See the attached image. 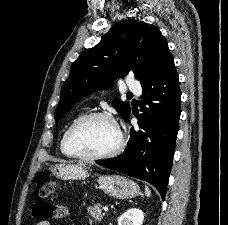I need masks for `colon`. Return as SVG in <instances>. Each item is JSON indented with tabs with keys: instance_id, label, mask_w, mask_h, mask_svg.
Returning <instances> with one entry per match:
<instances>
[{
	"instance_id": "obj_1",
	"label": "colon",
	"mask_w": 228,
	"mask_h": 225,
	"mask_svg": "<svg viewBox=\"0 0 228 225\" xmlns=\"http://www.w3.org/2000/svg\"><path fill=\"white\" fill-rule=\"evenodd\" d=\"M54 183L47 174L40 173L36 180L33 196L37 201L44 200L54 191Z\"/></svg>"
}]
</instances>
